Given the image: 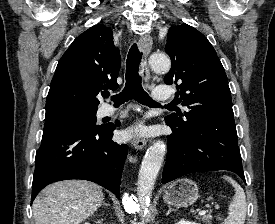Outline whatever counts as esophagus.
I'll list each match as a JSON object with an SVG mask.
<instances>
[{"label": "esophagus", "mask_w": 275, "mask_h": 224, "mask_svg": "<svg viewBox=\"0 0 275 224\" xmlns=\"http://www.w3.org/2000/svg\"><path fill=\"white\" fill-rule=\"evenodd\" d=\"M152 44H153L152 38L147 34L141 36L138 41L139 49L144 53V59L142 60V63H141L140 74L145 81H148L150 76L146 57L151 51ZM146 143H147V139L144 137H135L132 142L133 147L137 150H142L145 147Z\"/></svg>", "instance_id": "obj_1"}]
</instances>
